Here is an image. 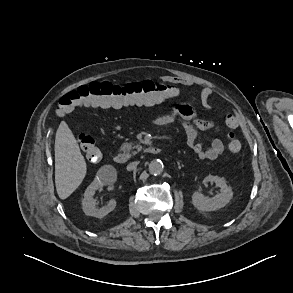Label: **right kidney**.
<instances>
[{
    "mask_svg": "<svg viewBox=\"0 0 293 293\" xmlns=\"http://www.w3.org/2000/svg\"><path fill=\"white\" fill-rule=\"evenodd\" d=\"M116 178V170L114 168H110L109 174L103 178L101 176H97L93 182L87 187L84 198L82 200V209L84 213L88 216H93L96 218H103L108 213L114 210L116 207V201L110 200L105 206L102 208L96 207V200L93 198L96 190L101 188L107 182H110Z\"/></svg>",
    "mask_w": 293,
    "mask_h": 293,
    "instance_id": "obj_1",
    "label": "right kidney"
}]
</instances>
